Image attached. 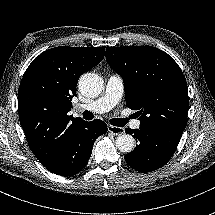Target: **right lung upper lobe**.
<instances>
[{"label": "right lung upper lobe", "instance_id": "obj_1", "mask_svg": "<svg viewBox=\"0 0 215 215\" xmlns=\"http://www.w3.org/2000/svg\"><path fill=\"white\" fill-rule=\"evenodd\" d=\"M105 47L49 49L27 68L18 90L20 124L30 149L46 165L71 129L83 122L73 118L71 100L80 75L104 58Z\"/></svg>", "mask_w": 215, "mask_h": 215}]
</instances>
